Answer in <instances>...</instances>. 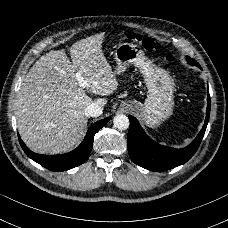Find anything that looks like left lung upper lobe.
Masks as SVG:
<instances>
[{
  "mask_svg": "<svg viewBox=\"0 0 228 228\" xmlns=\"http://www.w3.org/2000/svg\"><path fill=\"white\" fill-rule=\"evenodd\" d=\"M187 62H188L189 64H191V65H196V66H198L199 68H201L200 65H199L196 61H194L193 59H191L190 57H187Z\"/></svg>",
  "mask_w": 228,
  "mask_h": 228,
  "instance_id": "obj_1",
  "label": "left lung upper lobe"
}]
</instances>
